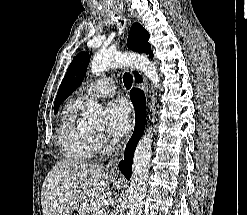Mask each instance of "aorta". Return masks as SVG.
Masks as SVG:
<instances>
[{"mask_svg":"<svg viewBox=\"0 0 247 215\" xmlns=\"http://www.w3.org/2000/svg\"><path fill=\"white\" fill-rule=\"evenodd\" d=\"M125 66H134L140 69L156 87H159L160 78L156 66L143 55L120 52H98L91 60V72L93 74H100L111 67ZM83 119L85 125L88 127L101 126L103 122L102 107L90 100ZM151 144L152 130L149 128L139 141L134 153L127 215H141L152 155Z\"/></svg>","mask_w":247,"mask_h":215,"instance_id":"obj_1","label":"aorta"}]
</instances>
